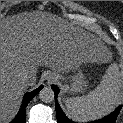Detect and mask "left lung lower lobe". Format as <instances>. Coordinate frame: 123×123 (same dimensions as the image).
I'll return each instance as SVG.
<instances>
[{
	"instance_id": "left-lung-lower-lobe-1",
	"label": "left lung lower lobe",
	"mask_w": 123,
	"mask_h": 123,
	"mask_svg": "<svg viewBox=\"0 0 123 123\" xmlns=\"http://www.w3.org/2000/svg\"><path fill=\"white\" fill-rule=\"evenodd\" d=\"M51 88L53 89L55 93V107H56V115H57V122L58 123H74L73 121L69 120L64 112L61 110L58 102H57V94L59 93V88L55 85H52ZM122 109V105L119 106L113 113L106 116L103 119L91 122V123H114L117 119L118 114L120 113Z\"/></svg>"
}]
</instances>
